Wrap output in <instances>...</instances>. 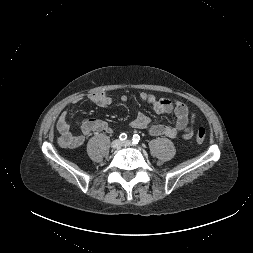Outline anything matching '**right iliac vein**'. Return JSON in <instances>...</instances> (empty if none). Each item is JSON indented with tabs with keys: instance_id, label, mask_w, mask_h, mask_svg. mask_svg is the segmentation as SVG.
<instances>
[{
	"instance_id": "obj_1",
	"label": "right iliac vein",
	"mask_w": 253,
	"mask_h": 253,
	"mask_svg": "<svg viewBox=\"0 0 253 253\" xmlns=\"http://www.w3.org/2000/svg\"><path fill=\"white\" fill-rule=\"evenodd\" d=\"M121 146V141L116 139L111 143V148L112 149H117Z\"/></svg>"
}]
</instances>
